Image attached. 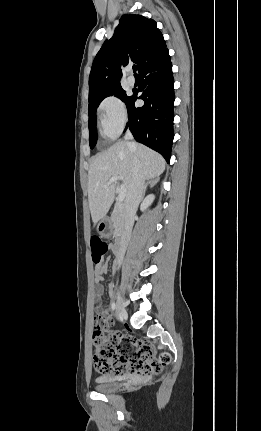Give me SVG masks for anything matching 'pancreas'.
Masks as SVG:
<instances>
[{
  "instance_id": "obj_1",
  "label": "pancreas",
  "mask_w": 261,
  "mask_h": 431,
  "mask_svg": "<svg viewBox=\"0 0 261 431\" xmlns=\"http://www.w3.org/2000/svg\"><path fill=\"white\" fill-rule=\"evenodd\" d=\"M111 221L113 222V227L115 228V234H118L124 223V211L121 203H116L114 210L111 215Z\"/></svg>"
}]
</instances>
